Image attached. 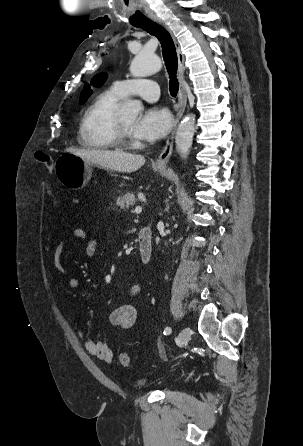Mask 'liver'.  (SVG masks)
<instances>
[{
	"instance_id": "1",
	"label": "liver",
	"mask_w": 303,
	"mask_h": 446,
	"mask_svg": "<svg viewBox=\"0 0 303 446\" xmlns=\"http://www.w3.org/2000/svg\"><path fill=\"white\" fill-rule=\"evenodd\" d=\"M66 151L89 163L122 173L135 172L145 163V158L142 155L120 151L88 150L73 147L67 148Z\"/></svg>"
}]
</instances>
